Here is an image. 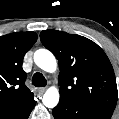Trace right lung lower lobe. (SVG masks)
Returning a JSON list of instances; mask_svg holds the SVG:
<instances>
[{
	"label": "right lung lower lobe",
	"mask_w": 119,
	"mask_h": 119,
	"mask_svg": "<svg viewBox=\"0 0 119 119\" xmlns=\"http://www.w3.org/2000/svg\"><path fill=\"white\" fill-rule=\"evenodd\" d=\"M35 104L33 95L23 102L0 108V119H28Z\"/></svg>",
	"instance_id": "1"
}]
</instances>
